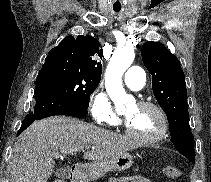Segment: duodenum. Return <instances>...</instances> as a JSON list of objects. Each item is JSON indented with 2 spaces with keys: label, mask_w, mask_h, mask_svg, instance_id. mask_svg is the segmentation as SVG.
<instances>
[{
  "label": "duodenum",
  "mask_w": 211,
  "mask_h": 182,
  "mask_svg": "<svg viewBox=\"0 0 211 182\" xmlns=\"http://www.w3.org/2000/svg\"><path fill=\"white\" fill-rule=\"evenodd\" d=\"M81 170L79 167H73L72 168V174H71V182H78L80 179Z\"/></svg>",
  "instance_id": "obj_1"
}]
</instances>
